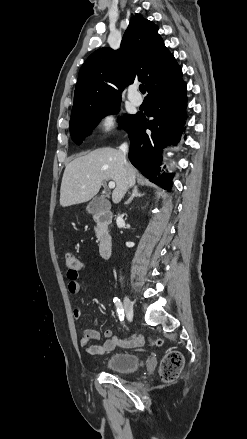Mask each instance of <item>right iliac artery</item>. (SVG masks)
<instances>
[{
    "label": "right iliac artery",
    "mask_w": 247,
    "mask_h": 439,
    "mask_svg": "<svg viewBox=\"0 0 247 439\" xmlns=\"http://www.w3.org/2000/svg\"><path fill=\"white\" fill-rule=\"evenodd\" d=\"M113 302H114V304H115V306L117 308V312L119 314L120 320H123L124 319V308H123V305H122L120 299L115 297L113 299Z\"/></svg>",
    "instance_id": "obj_1"
}]
</instances>
